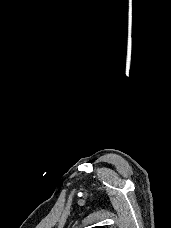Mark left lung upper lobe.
<instances>
[{
  "label": "left lung upper lobe",
  "instance_id": "1",
  "mask_svg": "<svg viewBox=\"0 0 171 228\" xmlns=\"http://www.w3.org/2000/svg\"><path fill=\"white\" fill-rule=\"evenodd\" d=\"M94 228H104V227H101V226H97V227H94Z\"/></svg>",
  "mask_w": 171,
  "mask_h": 228
}]
</instances>
